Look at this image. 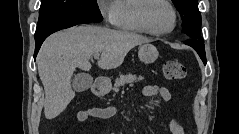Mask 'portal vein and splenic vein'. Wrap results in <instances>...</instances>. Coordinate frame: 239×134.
<instances>
[{"label": "portal vein and splenic vein", "mask_w": 239, "mask_h": 134, "mask_svg": "<svg viewBox=\"0 0 239 134\" xmlns=\"http://www.w3.org/2000/svg\"><path fill=\"white\" fill-rule=\"evenodd\" d=\"M99 56H100V53H95V54H94V58H95V59H98Z\"/></svg>", "instance_id": "1"}]
</instances>
